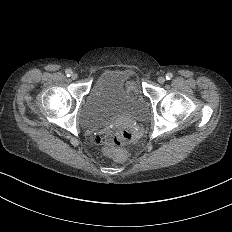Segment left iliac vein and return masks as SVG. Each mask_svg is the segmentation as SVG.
Returning <instances> with one entry per match:
<instances>
[{
	"instance_id": "obj_1",
	"label": "left iliac vein",
	"mask_w": 232,
	"mask_h": 232,
	"mask_svg": "<svg viewBox=\"0 0 232 232\" xmlns=\"http://www.w3.org/2000/svg\"><path fill=\"white\" fill-rule=\"evenodd\" d=\"M158 82L159 83H164L165 82V77L164 76H159L158 77Z\"/></svg>"
}]
</instances>
